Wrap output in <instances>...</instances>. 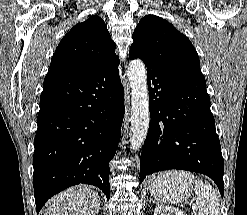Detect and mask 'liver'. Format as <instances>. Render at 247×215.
I'll list each match as a JSON object with an SVG mask.
<instances>
[{"label":"liver","instance_id":"6515ba94","mask_svg":"<svg viewBox=\"0 0 247 215\" xmlns=\"http://www.w3.org/2000/svg\"><path fill=\"white\" fill-rule=\"evenodd\" d=\"M99 208V195L87 185H78L52 199L46 215H97Z\"/></svg>","mask_w":247,"mask_h":215}]
</instances>
